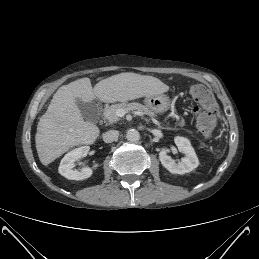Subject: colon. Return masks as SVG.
<instances>
[{"mask_svg": "<svg viewBox=\"0 0 259 259\" xmlns=\"http://www.w3.org/2000/svg\"><path fill=\"white\" fill-rule=\"evenodd\" d=\"M189 94L194 101L193 115L199 132L209 137L217 126L216 104L212 93L203 85L190 87Z\"/></svg>", "mask_w": 259, "mask_h": 259, "instance_id": "obj_1", "label": "colon"}]
</instances>
